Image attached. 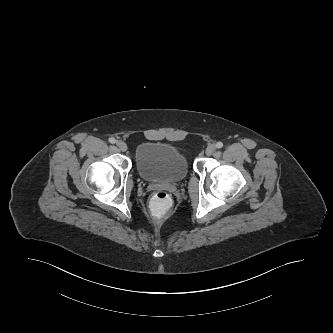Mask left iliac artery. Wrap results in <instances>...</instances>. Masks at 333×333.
<instances>
[{"mask_svg":"<svg viewBox=\"0 0 333 333\" xmlns=\"http://www.w3.org/2000/svg\"><path fill=\"white\" fill-rule=\"evenodd\" d=\"M216 147L219 148V149L222 148L223 147V143L222 142H217L216 143Z\"/></svg>","mask_w":333,"mask_h":333,"instance_id":"1","label":"left iliac artery"}]
</instances>
